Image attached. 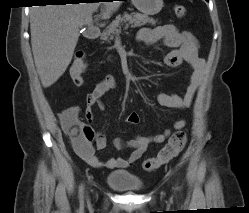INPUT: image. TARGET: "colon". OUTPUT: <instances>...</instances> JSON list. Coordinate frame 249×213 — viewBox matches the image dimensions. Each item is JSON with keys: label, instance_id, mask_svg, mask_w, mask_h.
<instances>
[{"label": "colon", "instance_id": "1", "mask_svg": "<svg viewBox=\"0 0 249 213\" xmlns=\"http://www.w3.org/2000/svg\"><path fill=\"white\" fill-rule=\"evenodd\" d=\"M174 12L178 17H184L186 15V8L183 5H175ZM87 69V63L82 53H76L71 63L70 74L73 82L76 85H81L83 82L82 75ZM187 141V134L184 130L176 131L168 140L166 145L161 149L157 157L151 158L145 161L144 169L147 171H153L159 168L161 165L169 162L174 158L185 146ZM81 145L80 141L76 143Z\"/></svg>", "mask_w": 249, "mask_h": 213}]
</instances>
